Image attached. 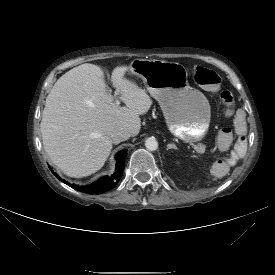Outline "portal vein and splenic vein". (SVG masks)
Returning <instances> with one entry per match:
<instances>
[{
	"instance_id": "1",
	"label": "portal vein and splenic vein",
	"mask_w": 275,
	"mask_h": 275,
	"mask_svg": "<svg viewBox=\"0 0 275 275\" xmlns=\"http://www.w3.org/2000/svg\"><path fill=\"white\" fill-rule=\"evenodd\" d=\"M118 93L117 92H115V96L117 95ZM116 104H119V99H117L116 100ZM196 149H197V151L199 152V153H204L205 152V146H203V147H196Z\"/></svg>"
}]
</instances>
